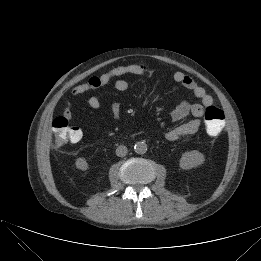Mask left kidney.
I'll return each instance as SVG.
<instances>
[{
    "label": "left kidney",
    "instance_id": "left-kidney-1",
    "mask_svg": "<svg viewBox=\"0 0 261 261\" xmlns=\"http://www.w3.org/2000/svg\"><path fill=\"white\" fill-rule=\"evenodd\" d=\"M204 161L205 157L201 152L197 150H192L186 151L182 154V157L179 161V165L182 169L187 170L198 167L199 165L203 164Z\"/></svg>",
    "mask_w": 261,
    "mask_h": 261
}]
</instances>
